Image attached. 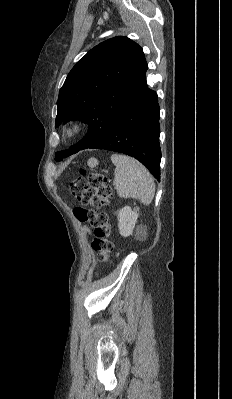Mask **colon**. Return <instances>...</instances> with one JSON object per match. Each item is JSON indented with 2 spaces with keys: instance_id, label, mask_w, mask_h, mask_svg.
<instances>
[{
  "instance_id": "colon-1",
  "label": "colon",
  "mask_w": 232,
  "mask_h": 399,
  "mask_svg": "<svg viewBox=\"0 0 232 399\" xmlns=\"http://www.w3.org/2000/svg\"><path fill=\"white\" fill-rule=\"evenodd\" d=\"M86 168H97L94 160H87L81 164V175L71 182L70 193L77 196V201H81V207H76L75 217L79 222H88L90 230H93V238L90 243H94V258L98 262H114V240L112 234H117V229L112 225H107V213H103L102 200L107 204L111 203V177L105 175H94L93 171ZM106 182V186H105ZM89 198V201H86ZM94 203H91L93 202Z\"/></svg>"
}]
</instances>
